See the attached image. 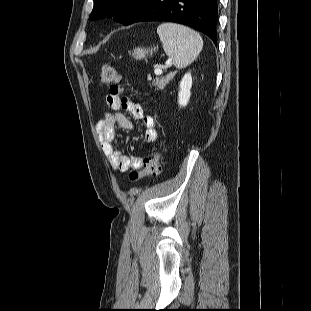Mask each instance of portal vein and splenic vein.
Instances as JSON below:
<instances>
[{"label": "portal vein and splenic vein", "mask_w": 311, "mask_h": 311, "mask_svg": "<svg viewBox=\"0 0 311 311\" xmlns=\"http://www.w3.org/2000/svg\"><path fill=\"white\" fill-rule=\"evenodd\" d=\"M154 73H155V75H161L162 74V69L156 68Z\"/></svg>", "instance_id": "portal-vein-and-splenic-vein-1"}]
</instances>
